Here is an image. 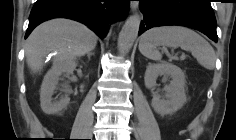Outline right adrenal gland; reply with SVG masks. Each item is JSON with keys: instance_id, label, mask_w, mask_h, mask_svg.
I'll use <instances>...</instances> for the list:
<instances>
[{"instance_id": "obj_1", "label": "right adrenal gland", "mask_w": 236, "mask_h": 140, "mask_svg": "<svg viewBox=\"0 0 236 140\" xmlns=\"http://www.w3.org/2000/svg\"><path fill=\"white\" fill-rule=\"evenodd\" d=\"M91 55H93V53H88V59L90 60Z\"/></svg>"}]
</instances>
